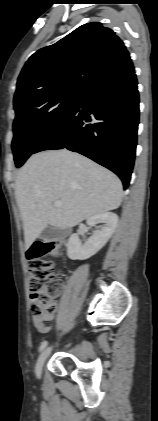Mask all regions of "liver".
Returning a JSON list of instances; mask_svg holds the SVG:
<instances>
[{
  "label": "liver",
  "instance_id": "1",
  "mask_svg": "<svg viewBox=\"0 0 158 421\" xmlns=\"http://www.w3.org/2000/svg\"><path fill=\"white\" fill-rule=\"evenodd\" d=\"M15 195L28 249L48 226L67 229L117 209L120 179L92 160L67 149L32 155L16 178ZM55 201L61 207H55Z\"/></svg>",
  "mask_w": 158,
  "mask_h": 421
}]
</instances>
